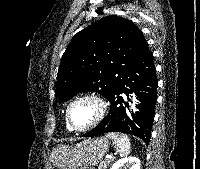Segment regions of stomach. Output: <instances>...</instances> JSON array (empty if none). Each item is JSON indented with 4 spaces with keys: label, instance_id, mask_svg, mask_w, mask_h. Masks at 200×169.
Masks as SVG:
<instances>
[{
    "label": "stomach",
    "instance_id": "1",
    "mask_svg": "<svg viewBox=\"0 0 200 169\" xmlns=\"http://www.w3.org/2000/svg\"><path fill=\"white\" fill-rule=\"evenodd\" d=\"M107 138L84 140L76 145H63L51 154L53 166L57 169H76L79 166L96 165L109 149Z\"/></svg>",
    "mask_w": 200,
    "mask_h": 169
}]
</instances>
